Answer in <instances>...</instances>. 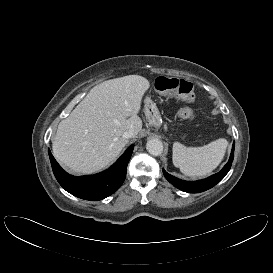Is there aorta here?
Wrapping results in <instances>:
<instances>
[{
	"label": "aorta",
	"mask_w": 273,
	"mask_h": 273,
	"mask_svg": "<svg viewBox=\"0 0 273 273\" xmlns=\"http://www.w3.org/2000/svg\"><path fill=\"white\" fill-rule=\"evenodd\" d=\"M147 151L154 156H159L163 152V143L159 139H150L146 144Z\"/></svg>",
	"instance_id": "762f6f07"
}]
</instances>
